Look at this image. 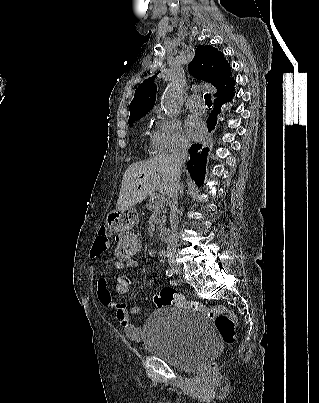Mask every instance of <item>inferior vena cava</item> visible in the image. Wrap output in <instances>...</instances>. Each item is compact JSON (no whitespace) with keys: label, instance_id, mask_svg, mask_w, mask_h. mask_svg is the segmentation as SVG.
I'll list each match as a JSON object with an SVG mask.
<instances>
[{"label":"inferior vena cava","instance_id":"obj_1","mask_svg":"<svg viewBox=\"0 0 319 403\" xmlns=\"http://www.w3.org/2000/svg\"><path fill=\"white\" fill-rule=\"evenodd\" d=\"M189 143L184 139H179L171 154L173 166L175 168V176L171 189L169 190L170 203V225L171 232L168 240V249H174L177 243L178 230V195L180 191V176L184 162L188 158Z\"/></svg>","mask_w":319,"mask_h":403}]
</instances>
